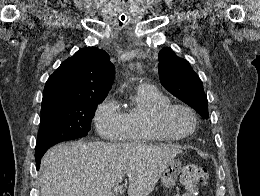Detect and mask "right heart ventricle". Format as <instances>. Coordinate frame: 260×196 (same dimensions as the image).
<instances>
[{"mask_svg":"<svg viewBox=\"0 0 260 196\" xmlns=\"http://www.w3.org/2000/svg\"><path fill=\"white\" fill-rule=\"evenodd\" d=\"M169 98L157 87L147 83H137L132 86L128 104L123 109L124 129L135 130L131 138H124L120 143H152L168 140L159 132L153 130L149 123L152 112L160 106L169 103ZM98 190L97 192H104Z\"/></svg>","mask_w":260,"mask_h":196,"instance_id":"right-heart-ventricle-1","label":"right heart ventricle"}]
</instances>
